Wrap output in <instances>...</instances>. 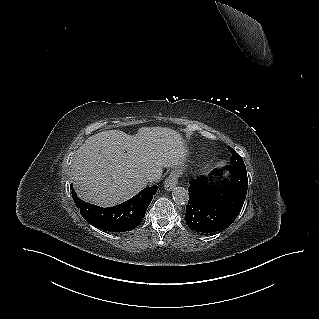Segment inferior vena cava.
<instances>
[{
	"mask_svg": "<svg viewBox=\"0 0 319 319\" xmlns=\"http://www.w3.org/2000/svg\"><path fill=\"white\" fill-rule=\"evenodd\" d=\"M156 179H157V177H156V175H154V174H149V175H147V177H146V181H147V182H154V181H156Z\"/></svg>",
	"mask_w": 319,
	"mask_h": 319,
	"instance_id": "inferior-vena-cava-1",
	"label": "inferior vena cava"
}]
</instances>
